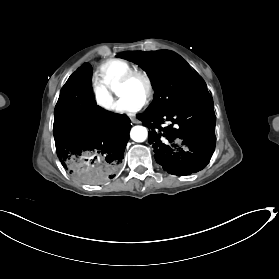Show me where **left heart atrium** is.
<instances>
[{
  "label": "left heart atrium",
  "mask_w": 279,
  "mask_h": 279,
  "mask_svg": "<svg viewBox=\"0 0 279 279\" xmlns=\"http://www.w3.org/2000/svg\"><path fill=\"white\" fill-rule=\"evenodd\" d=\"M144 106L143 99L121 98L117 105V110L120 113L133 114L139 111Z\"/></svg>",
  "instance_id": "left-heart-atrium-1"
}]
</instances>
